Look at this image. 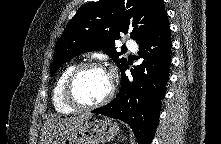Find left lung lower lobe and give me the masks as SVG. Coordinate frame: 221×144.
I'll use <instances>...</instances> for the list:
<instances>
[{"label":"left lung lower lobe","mask_w":221,"mask_h":144,"mask_svg":"<svg viewBox=\"0 0 221 144\" xmlns=\"http://www.w3.org/2000/svg\"><path fill=\"white\" fill-rule=\"evenodd\" d=\"M138 44V53L145 60L131 70L133 80H128L125 75L127 63L121 69V89L116 98L92 112L126 122L134 131L139 144H150L159 122L160 104L165 97L171 64L167 13Z\"/></svg>","instance_id":"1"}]
</instances>
